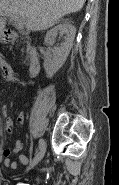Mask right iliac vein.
Segmentation results:
<instances>
[{
  "mask_svg": "<svg viewBox=\"0 0 119 185\" xmlns=\"http://www.w3.org/2000/svg\"><path fill=\"white\" fill-rule=\"evenodd\" d=\"M45 151H46V142H45V140H43L41 148L39 149L35 158L31 161V163L26 168V172L29 171L30 169L34 168L41 161V159L43 158V156L45 154Z\"/></svg>",
  "mask_w": 119,
  "mask_h": 185,
  "instance_id": "right-iliac-vein-1",
  "label": "right iliac vein"
}]
</instances>
